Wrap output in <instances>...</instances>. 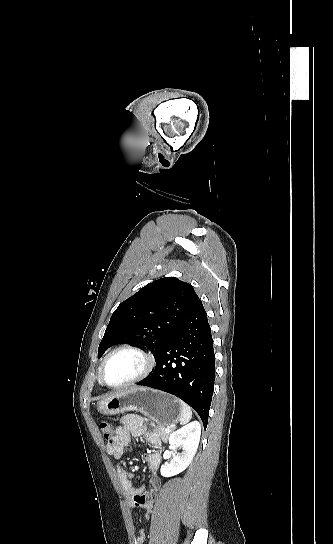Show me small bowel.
Returning a JSON list of instances; mask_svg holds the SVG:
<instances>
[{"instance_id": "c3829d8e", "label": "small bowel", "mask_w": 333, "mask_h": 544, "mask_svg": "<svg viewBox=\"0 0 333 544\" xmlns=\"http://www.w3.org/2000/svg\"><path fill=\"white\" fill-rule=\"evenodd\" d=\"M132 436H143L146 442L153 448L160 446V439L154 429V424L138 415H127L122 418L119 426L111 439L107 442V451L115 460H120L125 446ZM150 476L147 486L135 488L133 474L125 468L117 465V475L130 507H139L145 511L144 518H149L156 494L161 488V479L158 469L161 463V455L154 451L145 454ZM145 532L140 530L135 538V544H144Z\"/></svg>"}]
</instances>
